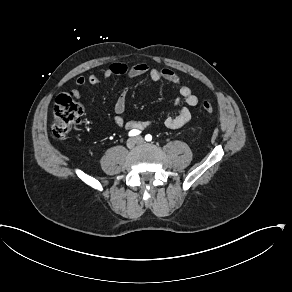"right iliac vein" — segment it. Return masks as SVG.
Segmentation results:
<instances>
[{
  "mask_svg": "<svg viewBox=\"0 0 292 292\" xmlns=\"http://www.w3.org/2000/svg\"><path fill=\"white\" fill-rule=\"evenodd\" d=\"M139 142H138V139L137 138H130L128 141H127V147L128 148H133V147H135V145L136 144H138Z\"/></svg>",
  "mask_w": 292,
  "mask_h": 292,
  "instance_id": "63e3f726",
  "label": "right iliac vein"
}]
</instances>
